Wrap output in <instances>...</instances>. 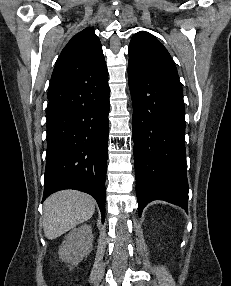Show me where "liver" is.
Instances as JSON below:
<instances>
[{
    "label": "liver",
    "instance_id": "6515ba94",
    "mask_svg": "<svg viewBox=\"0 0 231 286\" xmlns=\"http://www.w3.org/2000/svg\"><path fill=\"white\" fill-rule=\"evenodd\" d=\"M95 200L76 190H63L50 195L44 202L43 229L52 240L87 221L95 212Z\"/></svg>",
    "mask_w": 231,
    "mask_h": 286
}]
</instances>
